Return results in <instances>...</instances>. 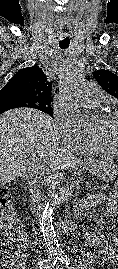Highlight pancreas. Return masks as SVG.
Returning a JSON list of instances; mask_svg holds the SVG:
<instances>
[{
  "instance_id": "cf45deb5",
  "label": "pancreas",
  "mask_w": 118,
  "mask_h": 269,
  "mask_svg": "<svg viewBox=\"0 0 118 269\" xmlns=\"http://www.w3.org/2000/svg\"><path fill=\"white\" fill-rule=\"evenodd\" d=\"M107 182H91L90 183V189L94 192H112V187H107Z\"/></svg>"
}]
</instances>
